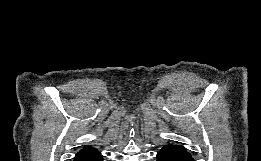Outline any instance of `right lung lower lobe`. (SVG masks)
I'll return each mask as SVG.
<instances>
[{"mask_svg": "<svg viewBox=\"0 0 261 161\" xmlns=\"http://www.w3.org/2000/svg\"><path fill=\"white\" fill-rule=\"evenodd\" d=\"M74 161H103L102 155L96 149L85 147L74 158Z\"/></svg>", "mask_w": 261, "mask_h": 161, "instance_id": "right-lung-lower-lobe-1", "label": "right lung lower lobe"}]
</instances>
